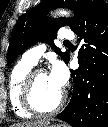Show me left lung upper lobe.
Masks as SVG:
<instances>
[{
	"label": "left lung upper lobe",
	"instance_id": "1",
	"mask_svg": "<svg viewBox=\"0 0 108 127\" xmlns=\"http://www.w3.org/2000/svg\"><path fill=\"white\" fill-rule=\"evenodd\" d=\"M83 1L43 0L40 5L23 14L12 31L7 58L8 64H11L22 51L38 41H45L50 44L53 50L67 63L69 61L68 51L65 53L60 52V49L54 45L53 38L60 27L68 25L73 30L78 21ZM60 7L73 10L75 16L73 18L59 17L56 19L45 16V12Z\"/></svg>",
	"mask_w": 108,
	"mask_h": 127
}]
</instances>
